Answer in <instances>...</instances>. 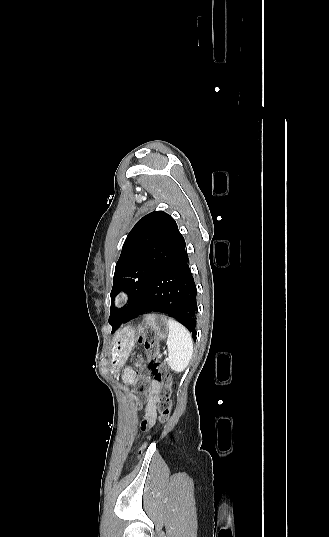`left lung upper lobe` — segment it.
<instances>
[{
	"label": "left lung upper lobe",
	"instance_id": "obj_1",
	"mask_svg": "<svg viewBox=\"0 0 329 537\" xmlns=\"http://www.w3.org/2000/svg\"><path fill=\"white\" fill-rule=\"evenodd\" d=\"M185 244L176 222L163 211H153L135 224L115 267L109 317L112 332L139 302L156 273ZM119 291L129 296L128 305L122 309L113 304Z\"/></svg>",
	"mask_w": 329,
	"mask_h": 537
}]
</instances>
